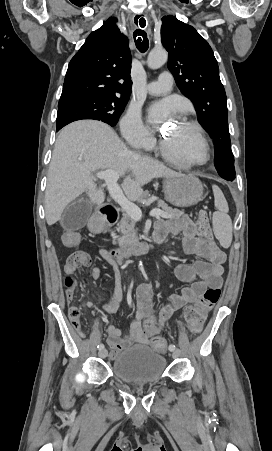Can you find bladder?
Returning a JSON list of instances; mask_svg holds the SVG:
<instances>
[{"label": "bladder", "instance_id": "31cf9c89", "mask_svg": "<svg viewBox=\"0 0 272 451\" xmlns=\"http://www.w3.org/2000/svg\"><path fill=\"white\" fill-rule=\"evenodd\" d=\"M166 357L146 346L136 345L122 352L112 362L113 376L121 382L149 384L158 382L163 376Z\"/></svg>", "mask_w": 272, "mask_h": 451}]
</instances>
